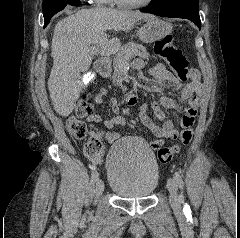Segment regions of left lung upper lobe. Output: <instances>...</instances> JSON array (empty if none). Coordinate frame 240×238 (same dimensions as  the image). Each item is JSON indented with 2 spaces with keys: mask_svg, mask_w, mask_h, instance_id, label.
<instances>
[{
  "mask_svg": "<svg viewBox=\"0 0 240 238\" xmlns=\"http://www.w3.org/2000/svg\"><path fill=\"white\" fill-rule=\"evenodd\" d=\"M164 1H166V0H152V1L150 2L149 6L158 5V4H160V3L164 2Z\"/></svg>",
  "mask_w": 240,
  "mask_h": 238,
  "instance_id": "left-lung-upper-lobe-1",
  "label": "left lung upper lobe"
}]
</instances>
